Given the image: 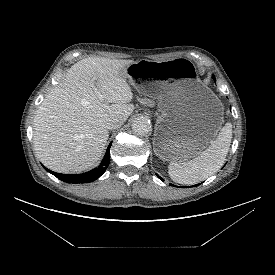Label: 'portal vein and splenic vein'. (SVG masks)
I'll return each mask as SVG.
<instances>
[{
    "label": "portal vein and splenic vein",
    "instance_id": "obj_1",
    "mask_svg": "<svg viewBox=\"0 0 275 275\" xmlns=\"http://www.w3.org/2000/svg\"><path fill=\"white\" fill-rule=\"evenodd\" d=\"M92 87H93V89L95 90V92H96V94L98 95V97L100 98V100L103 101V100H104L103 95H101L93 85H92Z\"/></svg>",
    "mask_w": 275,
    "mask_h": 275
}]
</instances>
